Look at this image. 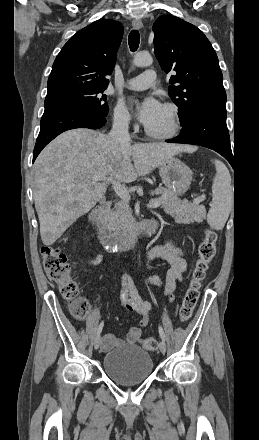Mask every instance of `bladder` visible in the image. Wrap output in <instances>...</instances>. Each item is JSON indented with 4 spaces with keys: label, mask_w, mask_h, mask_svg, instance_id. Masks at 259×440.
I'll list each match as a JSON object with an SVG mask.
<instances>
[{
    "label": "bladder",
    "mask_w": 259,
    "mask_h": 440,
    "mask_svg": "<svg viewBox=\"0 0 259 440\" xmlns=\"http://www.w3.org/2000/svg\"><path fill=\"white\" fill-rule=\"evenodd\" d=\"M103 371L117 384L135 385L150 377L153 360L146 350L137 345H122L105 354Z\"/></svg>",
    "instance_id": "1"
}]
</instances>
